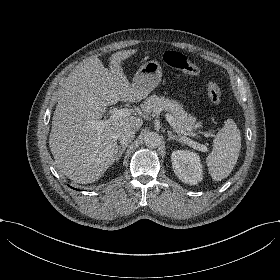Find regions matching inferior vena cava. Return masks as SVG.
Here are the masks:
<instances>
[{
	"label": "inferior vena cava",
	"mask_w": 280,
	"mask_h": 280,
	"mask_svg": "<svg viewBox=\"0 0 280 280\" xmlns=\"http://www.w3.org/2000/svg\"><path fill=\"white\" fill-rule=\"evenodd\" d=\"M117 138L122 145H127L135 138V131L132 129H123L117 133Z\"/></svg>",
	"instance_id": "602c4592"
}]
</instances>
